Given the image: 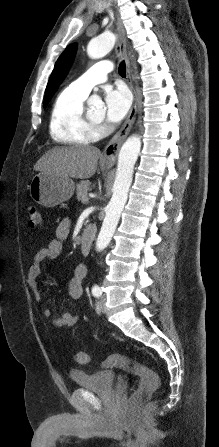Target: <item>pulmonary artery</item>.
Wrapping results in <instances>:
<instances>
[{
    "label": "pulmonary artery",
    "instance_id": "pulmonary-artery-1",
    "mask_svg": "<svg viewBox=\"0 0 219 447\" xmlns=\"http://www.w3.org/2000/svg\"><path fill=\"white\" fill-rule=\"evenodd\" d=\"M113 66L110 61H102L92 66L88 71L70 84V88L87 96L95 85L106 81Z\"/></svg>",
    "mask_w": 219,
    "mask_h": 447
}]
</instances>
